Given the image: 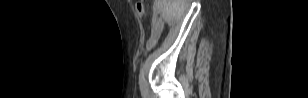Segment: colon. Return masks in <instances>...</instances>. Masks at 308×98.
I'll return each instance as SVG.
<instances>
[{"instance_id":"1","label":"colon","mask_w":308,"mask_h":98,"mask_svg":"<svg viewBox=\"0 0 308 98\" xmlns=\"http://www.w3.org/2000/svg\"><path fill=\"white\" fill-rule=\"evenodd\" d=\"M135 6H136V11H137L138 15H139L141 18L146 17V15H147V10H146V8H145L144 3H143L142 1H138V2L136 3ZM155 45H156V44H155Z\"/></svg>"}]
</instances>
